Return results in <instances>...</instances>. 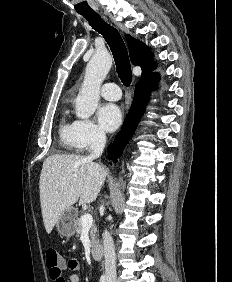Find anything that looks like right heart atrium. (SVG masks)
<instances>
[{"instance_id":"obj_1","label":"right heart atrium","mask_w":232,"mask_h":282,"mask_svg":"<svg viewBox=\"0 0 232 282\" xmlns=\"http://www.w3.org/2000/svg\"><path fill=\"white\" fill-rule=\"evenodd\" d=\"M74 139L79 150H92L105 141L104 132L90 120H77L74 122Z\"/></svg>"}]
</instances>
